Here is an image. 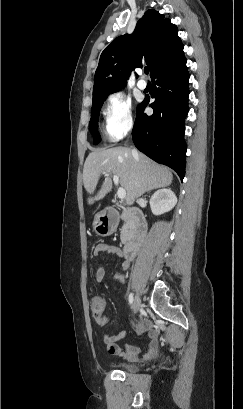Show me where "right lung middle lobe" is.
<instances>
[{"label": "right lung middle lobe", "mask_w": 243, "mask_h": 409, "mask_svg": "<svg viewBox=\"0 0 243 409\" xmlns=\"http://www.w3.org/2000/svg\"><path fill=\"white\" fill-rule=\"evenodd\" d=\"M106 97L94 100L91 109V119L89 122V129L94 138V144H98L101 141L100 134L98 132V118H99V111L103 105V102Z\"/></svg>", "instance_id": "obj_1"}]
</instances>
